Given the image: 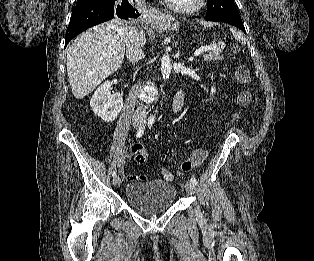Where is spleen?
<instances>
[{
	"label": "spleen",
	"instance_id": "obj_1",
	"mask_svg": "<svg viewBox=\"0 0 314 261\" xmlns=\"http://www.w3.org/2000/svg\"><path fill=\"white\" fill-rule=\"evenodd\" d=\"M230 30H231V32H232V34H233V37H234L236 40L240 41V42L242 43V45H245V44H246L245 38H244L243 34H242L240 31H237V30H235V29H233V28H231Z\"/></svg>",
	"mask_w": 314,
	"mask_h": 261
}]
</instances>
